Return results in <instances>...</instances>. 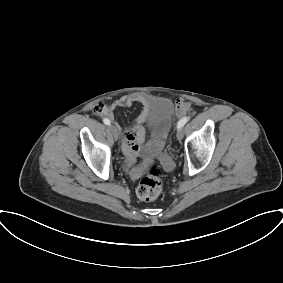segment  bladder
Listing matches in <instances>:
<instances>
[{
  "label": "bladder",
  "mask_w": 283,
  "mask_h": 283,
  "mask_svg": "<svg viewBox=\"0 0 283 283\" xmlns=\"http://www.w3.org/2000/svg\"><path fill=\"white\" fill-rule=\"evenodd\" d=\"M172 112V104L170 101H164L158 110L155 112V120L163 121L165 120Z\"/></svg>",
  "instance_id": "obj_1"
}]
</instances>
